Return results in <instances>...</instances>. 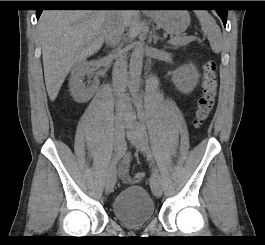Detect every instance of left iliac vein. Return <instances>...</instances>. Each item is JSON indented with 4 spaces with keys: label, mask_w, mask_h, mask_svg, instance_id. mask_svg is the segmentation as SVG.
Wrapping results in <instances>:
<instances>
[{
    "label": "left iliac vein",
    "mask_w": 265,
    "mask_h": 245,
    "mask_svg": "<svg viewBox=\"0 0 265 245\" xmlns=\"http://www.w3.org/2000/svg\"><path fill=\"white\" fill-rule=\"evenodd\" d=\"M127 137L141 153L151 158L148 137L143 126L140 123L132 122L128 125ZM150 184L153 194L156 197H161V178L157 172H154L152 174Z\"/></svg>",
    "instance_id": "obj_1"
}]
</instances>
